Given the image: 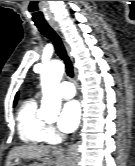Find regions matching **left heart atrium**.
<instances>
[{
    "instance_id": "39dd6f15",
    "label": "left heart atrium",
    "mask_w": 135,
    "mask_h": 166,
    "mask_svg": "<svg viewBox=\"0 0 135 166\" xmlns=\"http://www.w3.org/2000/svg\"><path fill=\"white\" fill-rule=\"evenodd\" d=\"M80 119V106L76 100L66 102L60 112L58 127L64 133L72 132Z\"/></svg>"
}]
</instances>
